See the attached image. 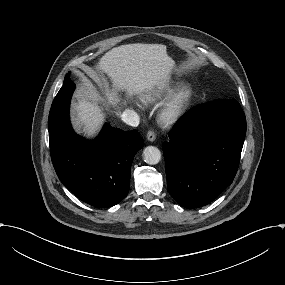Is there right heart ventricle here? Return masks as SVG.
I'll use <instances>...</instances> for the list:
<instances>
[{"mask_svg": "<svg viewBox=\"0 0 285 285\" xmlns=\"http://www.w3.org/2000/svg\"><path fill=\"white\" fill-rule=\"evenodd\" d=\"M175 85V82L170 81L157 83L142 95V99L149 103H156L166 97L174 89Z\"/></svg>", "mask_w": 285, "mask_h": 285, "instance_id": "1", "label": "right heart ventricle"}]
</instances>
